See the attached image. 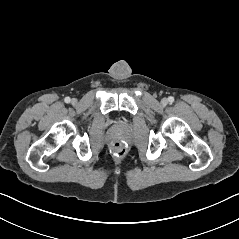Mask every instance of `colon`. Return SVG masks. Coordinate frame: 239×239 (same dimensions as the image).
Returning a JSON list of instances; mask_svg holds the SVG:
<instances>
[{"label":"colon","mask_w":239,"mask_h":239,"mask_svg":"<svg viewBox=\"0 0 239 239\" xmlns=\"http://www.w3.org/2000/svg\"><path fill=\"white\" fill-rule=\"evenodd\" d=\"M113 152L117 157H121L126 152V147L122 142H115L113 144Z\"/></svg>","instance_id":"colon-1"}]
</instances>
